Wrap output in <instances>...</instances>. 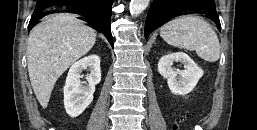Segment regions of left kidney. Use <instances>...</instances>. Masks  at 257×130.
<instances>
[{
  "label": "left kidney",
  "mask_w": 257,
  "mask_h": 130,
  "mask_svg": "<svg viewBox=\"0 0 257 130\" xmlns=\"http://www.w3.org/2000/svg\"><path fill=\"white\" fill-rule=\"evenodd\" d=\"M174 62L184 64V70H174ZM159 73L167 79L170 91L175 95L190 93L203 76V70L185 53L177 52L163 56L158 62Z\"/></svg>",
  "instance_id": "1"
}]
</instances>
